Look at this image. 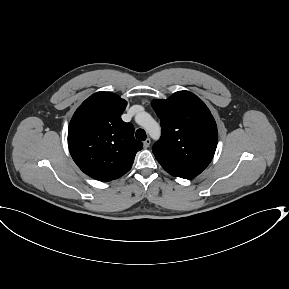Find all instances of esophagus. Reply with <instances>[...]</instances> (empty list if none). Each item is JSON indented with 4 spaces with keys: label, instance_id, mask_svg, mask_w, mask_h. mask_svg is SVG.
Returning <instances> with one entry per match:
<instances>
[{
    "label": "esophagus",
    "instance_id": "obj_1",
    "mask_svg": "<svg viewBox=\"0 0 289 289\" xmlns=\"http://www.w3.org/2000/svg\"><path fill=\"white\" fill-rule=\"evenodd\" d=\"M151 140L150 138H147L144 142H143V146L144 148H148L150 146Z\"/></svg>",
    "mask_w": 289,
    "mask_h": 289
}]
</instances>
